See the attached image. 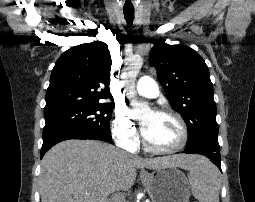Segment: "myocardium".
Here are the masks:
<instances>
[{
	"label": "myocardium",
	"instance_id": "obj_1",
	"mask_svg": "<svg viewBox=\"0 0 255 202\" xmlns=\"http://www.w3.org/2000/svg\"><path fill=\"white\" fill-rule=\"evenodd\" d=\"M153 112L158 115H166V116L173 117L179 124L180 131H181V138H180L179 143L173 147L157 148V147L152 146L148 142V140L146 139V137L144 135L143 128H142L141 129V140H142V144H143L144 148L147 151H149L151 153H155V154H171V153H175V152L182 150L188 142V127H187V124H186L185 120L183 119V117L176 111L167 109V108L157 109Z\"/></svg>",
	"mask_w": 255,
	"mask_h": 202
}]
</instances>
